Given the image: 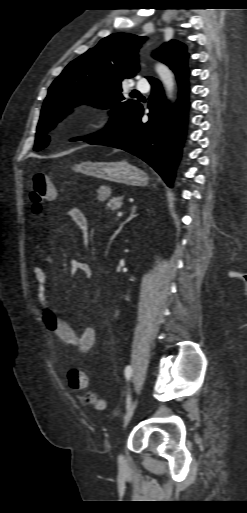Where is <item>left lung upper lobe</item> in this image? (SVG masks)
Instances as JSON below:
<instances>
[{
    "mask_svg": "<svg viewBox=\"0 0 247 513\" xmlns=\"http://www.w3.org/2000/svg\"><path fill=\"white\" fill-rule=\"evenodd\" d=\"M145 40V37L133 34H111L72 61L49 88L37 127L34 150L39 151L47 146L49 137L46 133L70 112V108L79 104L111 108L112 119L105 130L72 141L81 139L88 142L109 131L132 112L139 102L126 100L121 93V85L138 71V49ZM188 56L186 46L176 40L165 43L153 54L154 58L173 71L187 61ZM147 79L151 85L158 82L153 77Z\"/></svg>",
    "mask_w": 247,
    "mask_h": 513,
    "instance_id": "5c2ea615",
    "label": "left lung upper lobe"
}]
</instances>
